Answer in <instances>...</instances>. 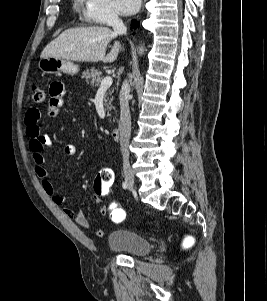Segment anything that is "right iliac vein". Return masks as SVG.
Instances as JSON below:
<instances>
[{
	"label": "right iliac vein",
	"instance_id": "63e3f726",
	"mask_svg": "<svg viewBox=\"0 0 267 301\" xmlns=\"http://www.w3.org/2000/svg\"><path fill=\"white\" fill-rule=\"evenodd\" d=\"M123 175L129 189L132 190L134 188V176L132 169L129 166H125L123 170Z\"/></svg>",
	"mask_w": 267,
	"mask_h": 301
}]
</instances>
